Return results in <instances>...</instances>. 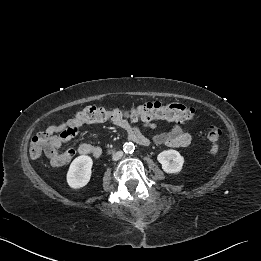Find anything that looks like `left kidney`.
<instances>
[{
  "mask_svg": "<svg viewBox=\"0 0 261 261\" xmlns=\"http://www.w3.org/2000/svg\"><path fill=\"white\" fill-rule=\"evenodd\" d=\"M157 160L162 165L163 171L169 174L179 173L184 164V157L172 149L159 153Z\"/></svg>",
  "mask_w": 261,
  "mask_h": 261,
  "instance_id": "obj_1",
  "label": "left kidney"
}]
</instances>
